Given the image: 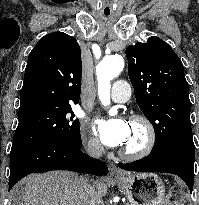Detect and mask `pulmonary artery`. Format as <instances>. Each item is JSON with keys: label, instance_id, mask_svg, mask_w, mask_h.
I'll return each instance as SVG.
<instances>
[{"label": "pulmonary artery", "instance_id": "pulmonary-artery-1", "mask_svg": "<svg viewBox=\"0 0 199 205\" xmlns=\"http://www.w3.org/2000/svg\"><path fill=\"white\" fill-rule=\"evenodd\" d=\"M131 97V86L125 80H117L112 86L111 99L113 102L122 103Z\"/></svg>", "mask_w": 199, "mask_h": 205}]
</instances>
